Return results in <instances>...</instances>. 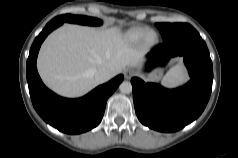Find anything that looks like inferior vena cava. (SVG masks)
<instances>
[{
	"instance_id": "602c4592",
	"label": "inferior vena cava",
	"mask_w": 238,
	"mask_h": 158,
	"mask_svg": "<svg viewBox=\"0 0 238 158\" xmlns=\"http://www.w3.org/2000/svg\"><path fill=\"white\" fill-rule=\"evenodd\" d=\"M92 72L98 83H104L110 79V72L106 68L94 69Z\"/></svg>"
}]
</instances>
